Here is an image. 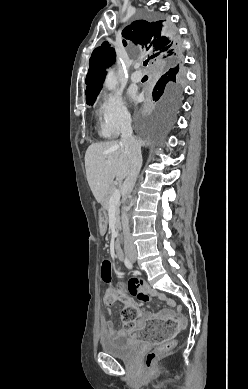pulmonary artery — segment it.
Segmentation results:
<instances>
[{
	"label": "pulmonary artery",
	"instance_id": "obj_1",
	"mask_svg": "<svg viewBox=\"0 0 248 389\" xmlns=\"http://www.w3.org/2000/svg\"><path fill=\"white\" fill-rule=\"evenodd\" d=\"M137 67V66H136ZM131 81L139 82L142 79V74L139 71H135L130 76Z\"/></svg>",
	"mask_w": 248,
	"mask_h": 389
}]
</instances>
